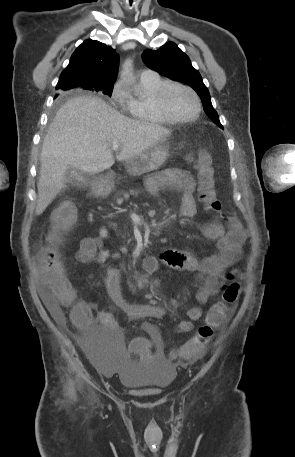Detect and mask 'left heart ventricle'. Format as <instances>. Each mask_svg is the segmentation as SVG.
<instances>
[{
	"label": "left heart ventricle",
	"mask_w": 295,
	"mask_h": 457,
	"mask_svg": "<svg viewBox=\"0 0 295 457\" xmlns=\"http://www.w3.org/2000/svg\"><path fill=\"white\" fill-rule=\"evenodd\" d=\"M166 105L176 117L191 116L196 109L193 96L185 89L173 87L166 96Z\"/></svg>",
	"instance_id": "b2bd125f"
}]
</instances>
